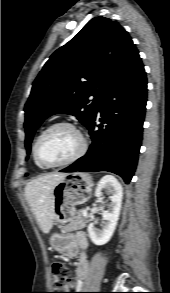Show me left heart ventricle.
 Masks as SVG:
<instances>
[{"mask_svg": "<svg viewBox=\"0 0 170 293\" xmlns=\"http://www.w3.org/2000/svg\"><path fill=\"white\" fill-rule=\"evenodd\" d=\"M80 147L78 134L67 127H60L44 137L39 147V155L47 163H59L74 156Z\"/></svg>", "mask_w": 170, "mask_h": 293, "instance_id": "1", "label": "left heart ventricle"}]
</instances>
